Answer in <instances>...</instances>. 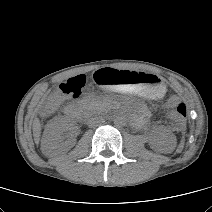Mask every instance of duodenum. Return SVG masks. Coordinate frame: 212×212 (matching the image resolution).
<instances>
[{"label":"duodenum","instance_id":"1","mask_svg":"<svg viewBox=\"0 0 212 212\" xmlns=\"http://www.w3.org/2000/svg\"><path fill=\"white\" fill-rule=\"evenodd\" d=\"M66 114H67L68 117L73 118V119H78L79 118V112L75 108L67 109ZM143 120H144V116L143 115H139V116H137L135 118V121L137 123H141V122H143Z\"/></svg>","mask_w":212,"mask_h":212}]
</instances>
